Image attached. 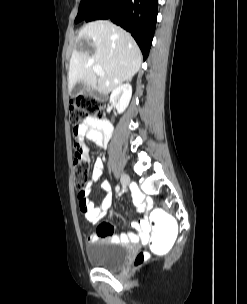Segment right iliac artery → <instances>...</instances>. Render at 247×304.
Returning <instances> with one entry per match:
<instances>
[{
	"label": "right iliac artery",
	"mask_w": 247,
	"mask_h": 304,
	"mask_svg": "<svg viewBox=\"0 0 247 304\" xmlns=\"http://www.w3.org/2000/svg\"><path fill=\"white\" fill-rule=\"evenodd\" d=\"M116 192L119 193V186L117 185L115 188Z\"/></svg>",
	"instance_id": "1"
}]
</instances>
